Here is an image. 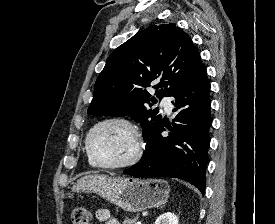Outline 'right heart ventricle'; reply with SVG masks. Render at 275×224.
<instances>
[{"instance_id": "right-heart-ventricle-1", "label": "right heart ventricle", "mask_w": 275, "mask_h": 224, "mask_svg": "<svg viewBox=\"0 0 275 224\" xmlns=\"http://www.w3.org/2000/svg\"><path fill=\"white\" fill-rule=\"evenodd\" d=\"M87 159H88V164H89L91 167H96V165H95L94 162L90 159V157L88 156V154H87Z\"/></svg>"}]
</instances>
